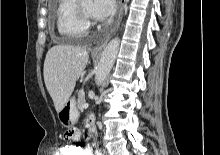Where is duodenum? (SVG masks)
Segmentation results:
<instances>
[{"instance_id": "duodenum-1", "label": "duodenum", "mask_w": 220, "mask_h": 155, "mask_svg": "<svg viewBox=\"0 0 220 155\" xmlns=\"http://www.w3.org/2000/svg\"><path fill=\"white\" fill-rule=\"evenodd\" d=\"M96 136V127L93 123L89 126V137L94 138Z\"/></svg>"}]
</instances>
